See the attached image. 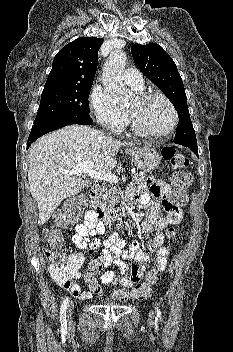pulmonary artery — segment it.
Masks as SVG:
<instances>
[{"label":"pulmonary artery","instance_id":"obj_1","mask_svg":"<svg viewBox=\"0 0 233 352\" xmlns=\"http://www.w3.org/2000/svg\"><path fill=\"white\" fill-rule=\"evenodd\" d=\"M123 79L127 85L136 91H141L144 88L142 74L137 69L129 68L125 70Z\"/></svg>","mask_w":233,"mask_h":352}]
</instances>
